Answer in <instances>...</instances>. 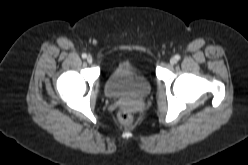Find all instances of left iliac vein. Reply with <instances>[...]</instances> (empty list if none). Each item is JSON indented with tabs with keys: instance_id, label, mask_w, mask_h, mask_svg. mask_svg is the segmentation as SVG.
Here are the masks:
<instances>
[{
	"instance_id": "4c4485c4",
	"label": "left iliac vein",
	"mask_w": 248,
	"mask_h": 165,
	"mask_svg": "<svg viewBox=\"0 0 248 165\" xmlns=\"http://www.w3.org/2000/svg\"><path fill=\"white\" fill-rule=\"evenodd\" d=\"M175 63H176V59H175V58H171V59H170V64H171V65H174Z\"/></svg>"
}]
</instances>
